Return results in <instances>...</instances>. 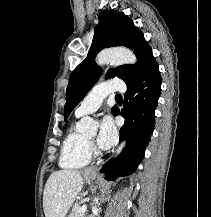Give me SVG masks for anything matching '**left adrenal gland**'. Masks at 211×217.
Here are the masks:
<instances>
[{
  "label": "left adrenal gland",
  "mask_w": 211,
  "mask_h": 217,
  "mask_svg": "<svg viewBox=\"0 0 211 217\" xmlns=\"http://www.w3.org/2000/svg\"><path fill=\"white\" fill-rule=\"evenodd\" d=\"M100 200H104V195H103L102 198H100V197H95L93 204H94V205H100V203H99ZM105 200H107V198H105Z\"/></svg>",
  "instance_id": "obj_1"
}]
</instances>
